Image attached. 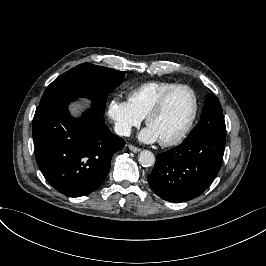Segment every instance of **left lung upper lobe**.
Returning a JSON list of instances; mask_svg holds the SVG:
<instances>
[{
	"instance_id": "5c2ea615",
	"label": "left lung upper lobe",
	"mask_w": 266,
	"mask_h": 266,
	"mask_svg": "<svg viewBox=\"0 0 266 266\" xmlns=\"http://www.w3.org/2000/svg\"><path fill=\"white\" fill-rule=\"evenodd\" d=\"M201 134L226 136V126L222 107L218 98L214 94H208L206 96L201 120L185 140Z\"/></svg>"
}]
</instances>
